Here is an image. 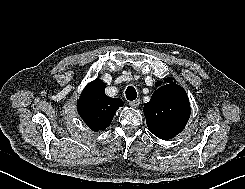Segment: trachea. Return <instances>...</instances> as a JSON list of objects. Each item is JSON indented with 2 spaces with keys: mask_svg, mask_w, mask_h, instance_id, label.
I'll return each mask as SVG.
<instances>
[{
  "mask_svg": "<svg viewBox=\"0 0 245 189\" xmlns=\"http://www.w3.org/2000/svg\"><path fill=\"white\" fill-rule=\"evenodd\" d=\"M125 94L127 100L134 101L137 98V91L133 86L127 87Z\"/></svg>",
  "mask_w": 245,
  "mask_h": 189,
  "instance_id": "obj_1",
  "label": "trachea"
}]
</instances>
